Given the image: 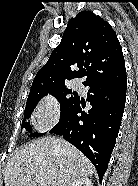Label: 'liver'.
<instances>
[{"mask_svg":"<svg viewBox=\"0 0 138 186\" xmlns=\"http://www.w3.org/2000/svg\"><path fill=\"white\" fill-rule=\"evenodd\" d=\"M94 167L76 147L64 139L44 137L18 149L8 160L5 186H67L71 181L92 176Z\"/></svg>","mask_w":138,"mask_h":186,"instance_id":"1","label":"liver"}]
</instances>
